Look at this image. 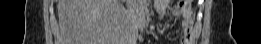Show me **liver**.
<instances>
[{
    "label": "liver",
    "mask_w": 261,
    "mask_h": 44,
    "mask_svg": "<svg viewBox=\"0 0 261 44\" xmlns=\"http://www.w3.org/2000/svg\"><path fill=\"white\" fill-rule=\"evenodd\" d=\"M57 11L61 33L69 44H117L119 40H135V30L114 25L134 24L129 14H116L125 11L118 0H59Z\"/></svg>",
    "instance_id": "1"
}]
</instances>
